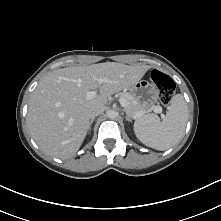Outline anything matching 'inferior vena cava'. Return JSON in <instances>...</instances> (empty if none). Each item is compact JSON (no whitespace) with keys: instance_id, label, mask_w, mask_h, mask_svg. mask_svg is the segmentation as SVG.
I'll return each instance as SVG.
<instances>
[{"instance_id":"inferior-vena-cava-1","label":"inferior vena cava","mask_w":221,"mask_h":221,"mask_svg":"<svg viewBox=\"0 0 221 221\" xmlns=\"http://www.w3.org/2000/svg\"><path fill=\"white\" fill-rule=\"evenodd\" d=\"M103 111H104V108H96V109H94L91 112V114H90L91 119L94 118L95 116L100 115Z\"/></svg>"}]
</instances>
